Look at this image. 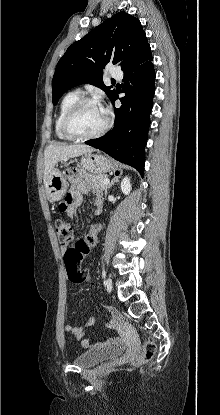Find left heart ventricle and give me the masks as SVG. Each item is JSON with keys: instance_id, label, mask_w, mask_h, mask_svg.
<instances>
[{"instance_id": "obj_1", "label": "left heart ventricle", "mask_w": 220, "mask_h": 415, "mask_svg": "<svg viewBox=\"0 0 220 415\" xmlns=\"http://www.w3.org/2000/svg\"><path fill=\"white\" fill-rule=\"evenodd\" d=\"M105 113L98 105L84 106L72 119V130L80 135H91L98 132L105 123Z\"/></svg>"}]
</instances>
